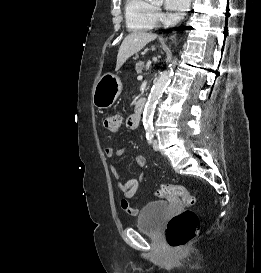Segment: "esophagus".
<instances>
[{"mask_svg": "<svg viewBox=\"0 0 261 273\" xmlns=\"http://www.w3.org/2000/svg\"><path fill=\"white\" fill-rule=\"evenodd\" d=\"M175 36H176V35H173V36L171 37V39L175 38Z\"/></svg>", "mask_w": 261, "mask_h": 273, "instance_id": "34e87169", "label": "esophagus"}]
</instances>
